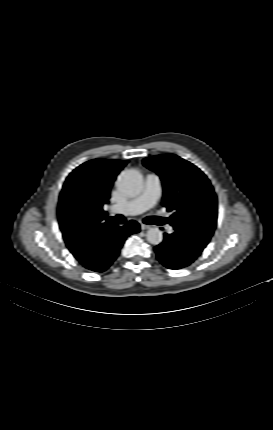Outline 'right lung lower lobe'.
Masks as SVG:
<instances>
[{
	"label": "right lung lower lobe",
	"mask_w": 273,
	"mask_h": 430,
	"mask_svg": "<svg viewBox=\"0 0 273 430\" xmlns=\"http://www.w3.org/2000/svg\"><path fill=\"white\" fill-rule=\"evenodd\" d=\"M140 231V226L135 221H130L124 226L116 223L95 231L88 244V252L80 258H76L85 268L104 272L119 255L125 239Z\"/></svg>",
	"instance_id": "1"
}]
</instances>
